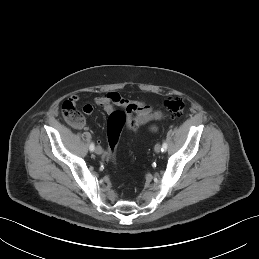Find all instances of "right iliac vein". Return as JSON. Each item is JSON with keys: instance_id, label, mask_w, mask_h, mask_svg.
<instances>
[{"instance_id": "obj_1", "label": "right iliac vein", "mask_w": 259, "mask_h": 259, "mask_svg": "<svg viewBox=\"0 0 259 259\" xmlns=\"http://www.w3.org/2000/svg\"><path fill=\"white\" fill-rule=\"evenodd\" d=\"M95 153H96L97 155H100V154L102 153V148H101L100 146H97V147L95 148Z\"/></svg>"}]
</instances>
